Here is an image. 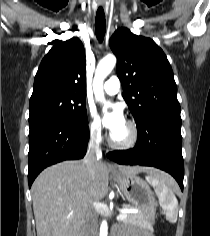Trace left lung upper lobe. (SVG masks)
<instances>
[{"instance_id":"left-lung-upper-lobe-1","label":"left lung upper lobe","mask_w":210,"mask_h":236,"mask_svg":"<svg viewBox=\"0 0 210 236\" xmlns=\"http://www.w3.org/2000/svg\"><path fill=\"white\" fill-rule=\"evenodd\" d=\"M110 47L117 57L123 98L136 124L152 114H180L172 68L152 39L121 28L112 35Z\"/></svg>"}]
</instances>
